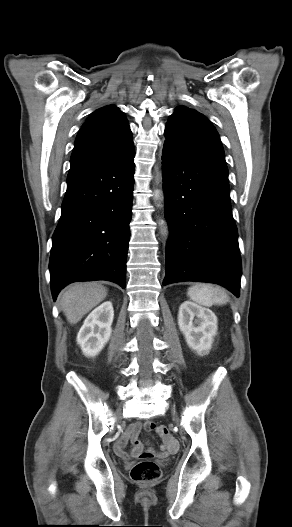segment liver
Returning <instances> with one entry per match:
<instances>
[{"mask_svg":"<svg viewBox=\"0 0 292 527\" xmlns=\"http://www.w3.org/2000/svg\"><path fill=\"white\" fill-rule=\"evenodd\" d=\"M107 296V288L96 282L78 283L62 296L61 307L70 324L78 323L84 315Z\"/></svg>","mask_w":292,"mask_h":527,"instance_id":"6515ba94","label":"liver"}]
</instances>
